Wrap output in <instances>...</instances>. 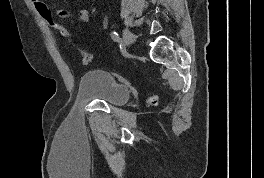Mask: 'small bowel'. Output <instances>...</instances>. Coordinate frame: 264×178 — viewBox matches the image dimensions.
Returning a JSON list of instances; mask_svg holds the SVG:
<instances>
[{
    "label": "small bowel",
    "instance_id": "1",
    "mask_svg": "<svg viewBox=\"0 0 264 178\" xmlns=\"http://www.w3.org/2000/svg\"><path fill=\"white\" fill-rule=\"evenodd\" d=\"M53 11L62 18L75 17L77 22H87L89 20V11L86 7L77 9L73 0H70L68 8H53Z\"/></svg>",
    "mask_w": 264,
    "mask_h": 178
}]
</instances>
